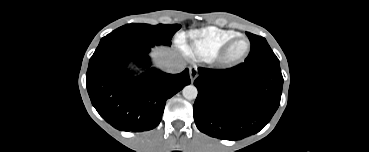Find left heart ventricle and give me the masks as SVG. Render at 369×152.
Listing matches in <instances>:
<instances>
[{
    "instance_id": "1",
    "label": "left heart ventricle",
    "mask_w": 369,
    "mask_h": 152,
    "mask_svg": "<svg viewBox=\"0 0 369 152\" xmlns=\"http://www.w3.org/2000/svg\"><path fill=\"white\" fill-rule=\"evenodd\" d=\"M247 44L244 40L238 41L231 49L233 56L241 55L246 50Z\"/></svg>"
}]
</instances>
